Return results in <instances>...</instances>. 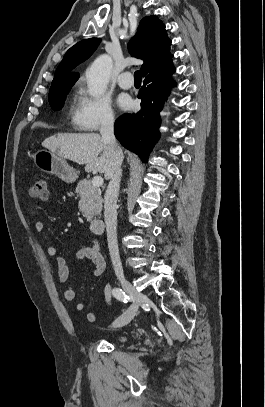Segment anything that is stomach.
Instances as JSON below:
<instances>
[{"instance_id": "1", "label": "stomach", "mask_w": 265, "mask_h": 407, "mask_svg": "<svg viewBox=\"0 0 265 407\" xmlns=\"http://www.w3.org/2000/svg\"><path fill=\"white\" fill-rule=\"evenodd\" d=\"M34 165L43 172L58 176L64 182H74L78 175L63 157L50 150L41 149L33 155Z\"/></svg>"}]
</instances>
